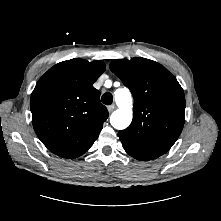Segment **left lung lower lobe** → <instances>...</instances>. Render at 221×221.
<instances>
[{
	"label": "left lung lower lobe",
	"instance_id": "0a47b994",
	"mask_svg": "<svg viewBox=\"0 0 221 221\" xmlns=\"http://www.w3.org/2000/svg\"><path fill=\"white\" fill-rule=\"evenodd\" d=\"M124 149L125 151L132 157H134L135 159H138V160H149V159H145V158H142L136 154H134L132 151H130L127 147L124 146Z\"/></svg>",
	"mask_w": 221,
	"mask_h": 221
}]
</instances>
